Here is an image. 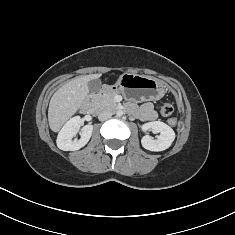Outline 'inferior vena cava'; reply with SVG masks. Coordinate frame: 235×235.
Here are the masks:
<instances>
[{
	"label": "inferior vena cava",
	"mask_w": 235,
	"mask_h": 235,
	"mask_svg": "<svg viewBox=\"0 0 235 235\" xmlns=\"http://www.w3.org/2000/svg\"><path fill=\"white\" fill-rule=\"evenodd\" d=\"M112 116V112L109 110H103L99 113L98 115V119L100 121H105L107 119H109Z\"/></svg>",
	"instance_id": "inferior-vena-cava-1"
}]
</instances>
